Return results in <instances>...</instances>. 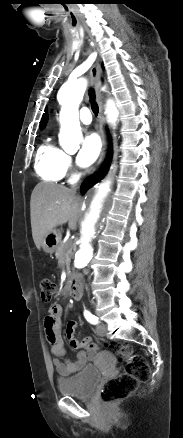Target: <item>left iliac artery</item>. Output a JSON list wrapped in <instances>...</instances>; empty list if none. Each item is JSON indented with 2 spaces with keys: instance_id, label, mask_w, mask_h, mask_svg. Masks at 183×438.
<instances>
[{
  "instance_id": "obj_1",
  "label": "left iliac artery",
  "mask_w": 183,
  "mask_h": 438,
  "mask_svg": "<svg viewBox=\"0 0 183 438\" xmlns=\"http://www.w3.org/2000/svg\"><path fill=\"white\" fill-rule=\"evenodd\" d=\"M84 316H85L86 320H87L88 322H90L91 324L96 325V324L99 323V321H98V317H96L95 315H93L92 313H90L88 310H85V311H84Z\"/></svg>"
}]
</instances>
